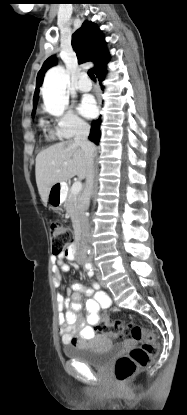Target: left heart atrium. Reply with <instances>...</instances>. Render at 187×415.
<instances>
[{
    "instance_id": "left-heart-atrium-1",
    "label": "left heart atrium",
    "mask_w": 187,
    "mask_h": 415,
    "mask_svg": "<svg viewBox=\"0 0 187 415\" xmlns=\"http://www.w3.org/2000/svg\"><path fill=\"white\" fill-rule=\"evenodd\" d=\"M79 112L87 117L92 118L96 114V104L92 96H85L83 97L80 105H79Z\"/></svg>"
}]
</instances>
